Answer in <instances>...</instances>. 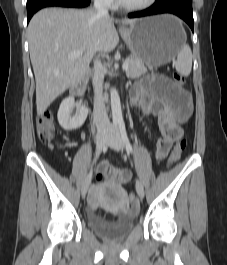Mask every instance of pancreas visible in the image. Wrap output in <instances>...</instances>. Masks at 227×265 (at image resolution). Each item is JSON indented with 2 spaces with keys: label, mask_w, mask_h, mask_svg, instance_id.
<instances>
[{
  "label": "pancreas",
  "mask_w": 227,
  "mask_h": 265,
  "mask_svg": "<svg viewBox=\"0 0 227 265\" xmlns=\"http://www.w3.org/2000/svg\"><path fill=\"white\" fill-rule=\"evenodd\" d=\"M125 62L128 64V69L125 70L128 78H137L147 72L144 63L135 57L127 58ZM148 68L153 69L152 66H148Z\"/></svg>",
  "instance_id": "1"
}]
</instances>
